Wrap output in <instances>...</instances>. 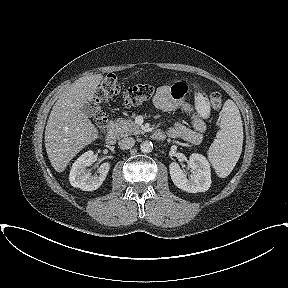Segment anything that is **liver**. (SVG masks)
Instances as JSON below:
<instances>
[{
  "instance_id": "liver-1",
  "label": "liver",
  "mask_w": 288,
  "mask_h": 288,
  "mask_svg": "<svg viewBox=\"0 0 288 288\" xmlns=\"http://www.w3.org/2000/svg\"><path fill=\"white\" fill-rule=\"evenodd\" d=\"M102 74L79 78L55 102L45 130V148L52 167L63 172L69 162L99 137L81 108L93 100Z\"/></svg>"
}]
</instances>
